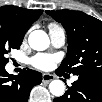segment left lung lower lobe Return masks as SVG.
<instances>
[{"mask_svg":"<svg viewBox=\"0 0 102 102\" xmlns=\"http://www.w3.org/2000/svg\"><path fill=\"white\" fill-rule=\"evenodd\" d=\"M57 72V71H56ZM59 73V72H57ZM65 94L55 98L54 102H101L102 77L95 75H78Z\"/></svg>","mask_w":102,"mask_h":102,"instance_id":"0a47b994","label":"left lung lower lobe"}]
</instances>
